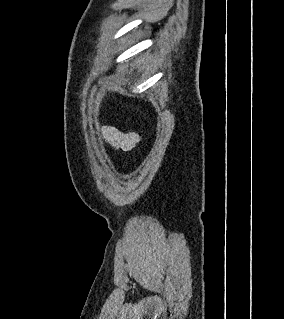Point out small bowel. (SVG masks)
Returning a JSON list of instances; mask_svg holds the SVG:
<instances>
[{"label": "small bowel", "mask_w": 284, "mask_h": 319, "mask_svg": "<svg viewBox=\"0 0 284 319\" xmlns=\"http://www.w3.org/2000/svg\"><path fill=\"white\" fill-rule=\"evenodd\" d=\"M103 134L110 146L123 151L131 150L140 141V137L137 133L121 131L110 126L103 128Z\"/></svg>", "instance_id": "1"}]
</instances>
